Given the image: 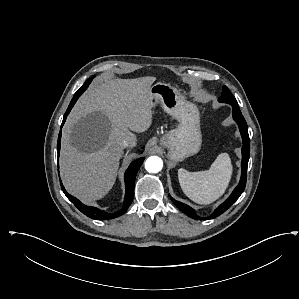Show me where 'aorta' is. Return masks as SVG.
<instances>
[{
	"label": "aorta",
	"instance_id": "obj_1",
	"mask_svg": "<svg viewBox=\"0 0 299 299\" xmlns=\"http://www.w3.org/2000/svg\"><path fill=\"white\" fill-rule=\"evenodd\" d=\"M163 161L158 156H150L145 162V169L149 173H157L162 170Z\"/></svg>",
	"mask_w": 299,
	"mask_h": 299
}]
</instances>
